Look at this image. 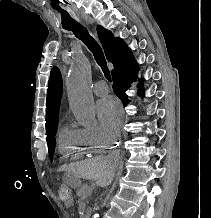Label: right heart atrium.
<instances>
[{"mask_svg": "<svg viewBox=\"0 0 211 218\" xmlns=\"http://www.w3.org/2000/svg\"><path fill=\"white\" fill-rule=\"evenodd\" d=\"M82 138L89 144L95 146H108L113 138L111 134L104 128L95 123L78 129Z\"/></svg>", "mask_w": 211, "mask_h": 218, "instance_id": "1", "label": "right heart atrium"}]
</instances>
